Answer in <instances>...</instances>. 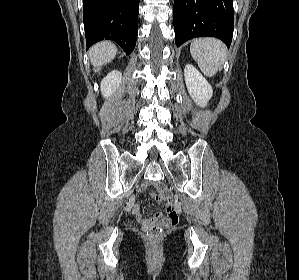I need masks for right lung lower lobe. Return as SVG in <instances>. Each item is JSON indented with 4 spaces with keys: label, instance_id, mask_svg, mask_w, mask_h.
Here are the masks:
<instances>
[{
    "label": "right lung lower lobe",
    "instance_id": "obj_1",
    "mask_svg": "<svg viewBox=\"0 0 299 280\" xmlns=\"http://www.w3.org/2000/svg\"><path fill=\"white\" fill-rule=\"evenodd\" d=\"M139 0H83L86 45L114 40L130 54L138 34Z\"/></svg>",
    "mask_w": 299,
    "mask_h": 280
}]
</instances>
